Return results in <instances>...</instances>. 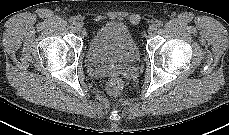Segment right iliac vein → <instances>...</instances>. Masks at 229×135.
<instances>
[{
    "label": "right iliac vein",
    "instance_id": "obj_1",
    "mask_svg": "<svg viewBox=\"0 0 229 135\" xmlns=\"http://www.w3.org/2000/svg\"><path fill=\"white\" fill-rule=\"evenodd\" d=\"M75 29H76V31H82V29H83V24L81 23V22H77L76 24H75Z\"/></svg>",
    "mask_w": 229,
    "mask_h": 135
}]
</instances>
